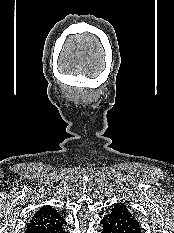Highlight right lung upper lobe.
I'll return each instance as SVG.
<instances>
[{
  "label": "right lung upper lobe",
  "mask_w": 174,
  "mask_h": 233,
  "mask_svg": "<svg viewBox=\"0 0 174 233\" xmlns=\"http://www.w3.org/2000/svg\"><path fill=\"white\" fill-rule=\"evenodd\" d=\"M65 220L51 206L46 205L38 210L27 225L26 233H42L45 230L52 229Z\"/></svg>",
  "instance_id": "cb5924a9"
}]
</instances>
